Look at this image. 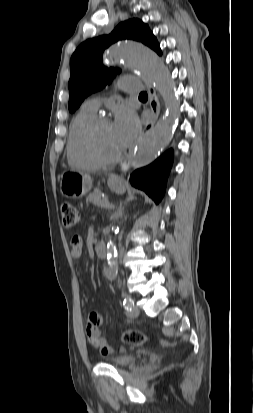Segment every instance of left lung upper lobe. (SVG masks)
Returning <instances> with one entry per match:
<instances>
[{
	"instance_id": "left-lung-upper-lobe-1",
	"label": "left lung upper lobe",
	"mask_w": 253,
	"mask_h": 413,
	"mask_svg": "<svg viewBox=\"0 0 253 413\" xmlns=\"http://www.w3.org/2000/svg\"><path fill=\"white\" fill-rule=\"evenodd\" d=\"M124 39L141 42L161 55L159 43L148 25L139 19L120 23L111 34L88 39L81 43L70 60V99L68 108L74 112L91 93L102 89L115 76L113 68L102 64L103 51L111 44ZM119 72V70H117Z\"/></svg>"
}]
</instances>
